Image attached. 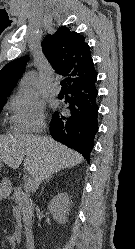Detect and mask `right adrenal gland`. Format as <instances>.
Wrapping results in <instances>:
<instances>
[{"label": "right adrenal gland", "mask_w": 135, "mask_h": 249, "mask_svg": "<svg viewBox=\"0 0 135 249\" xmlns=\"http://www.w3.org/2000/svg\"><path fill=\"white\" fill-rule=\"evenodd\" d=\"M49 179H50V178H48V179L46 180V182H48V181H49ZM46 182H45V183H46Z\"/></svg>", "instance_id": "obj_1"}]
</instances>
